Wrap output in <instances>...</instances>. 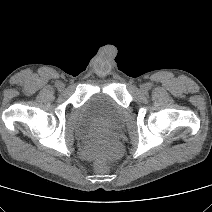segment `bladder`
I'll return each instance as SVG.
<instances>
[{"label":"bladder","instance_id":"1","mask_svg":"<svg viewBox=\"0 0 212 212\" xmlns=\"http://www.w3.org/2000/svg\"><path fill=\"white\" fill-rule=\"evenodd\" d=\"M125 122L124 109L108 94H92L80 107L77 135L89 139L102 131H116Z\"/></svg>","mask_w":212,"mask_h":212}]
</instances>
